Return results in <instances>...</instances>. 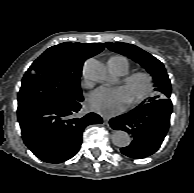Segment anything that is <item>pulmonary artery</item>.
<instances>
[{
  "label": "pulmonary artery",
  "mask_w": 194,
  "mask_h": 193,
  "mask_svg": "<svg viewBox=\"0 0 194 193\" xmlns=\"http://www.w3.org/2000/svg\"><path fill=\"white\" fill-rule=\"evenodd\" d=\"M112 63H113V60L109 59V61H108L109 66L112 65Z\"/></svg>",
  "instance_id": "e3ab8cb5"
}]
</instances>
